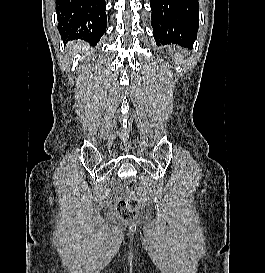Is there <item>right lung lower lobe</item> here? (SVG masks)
<instances>
[{
  "instance_id": "obj_1",
  "label": "right lung lower lobe",
  "mask_w": 265,
  "mask_h": 273,
  "mask_svg": "<svg viewBox=\"0 0 265 273\" xmlns=\"http://www.w3.org/2000/svg\"><path fill=\"white\" fill-rule=\"evenodd\" d=\"M105 0H57L58 30L63 42L83 39L95 45L107 27Z\"/></svg>"
}]
</instances>
